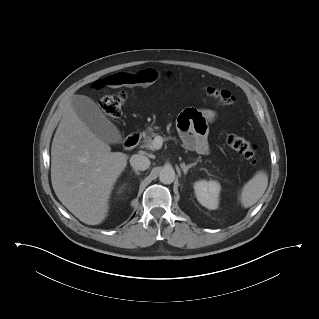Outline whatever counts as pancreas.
Returning a JSON list of instances; mask_svg holds the SVG:
<instances>
[{"label":"pancreas","instance_id":"pancreas-1","mask_svg":"<svg viewBox=\"0 0 319 319\" xmlns=\"http://www.w3.org/2000/svg\"><path fill=\"white\" fill-rule=\"evenodd\" d=\"M157 134L154 132L152 127H148L147 130L143 133V145L142 148L152 149V138L156 137Z\"/></svg>","mask_w":319,"mask_h":319}]
</instances>
